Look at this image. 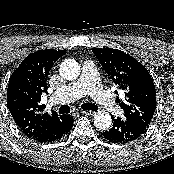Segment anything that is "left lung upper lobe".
Wrapping results in <instances>:
<instances>
[{"label": "left lung upper lobe", "instance_id": "left-lung-upper-lobe-1", "mask_svg": "<svg viewBox=\"0 0 174 174\" xmlns=\"http://www.w3.org/2000/svg\"><path fill=\"white\" fill-rule=\"evenodd\" d=\"M92 52L113 83L125 93L124 101L116 100L124 110V119L149 127L156 109V91L148 70L118 49L92 48Z\"/></svg>", "mask_w": 174, "mask_h": 174}]
</instances>
